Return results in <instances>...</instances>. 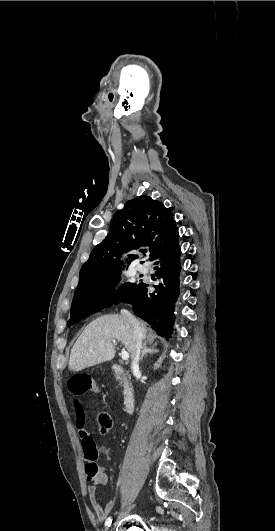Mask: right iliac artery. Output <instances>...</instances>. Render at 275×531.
<instances>
[{
	"mask_svg": "<svg viewBox=\"0 0 275 531\" xmlns=\"http://www.w3.org/2000/svg\"><path fill=\"white\" fill-rule=\"evenodd\" d=\"M111 523H112V518L111 517L107 518L106 521H105L106 529H108V527H110Z\"/></svg>",
	"mask_w": 275,
	"mask_h": 531,
	"instance_id": "obj_1",
	"label": "right iliac artery"
}]
</instances>
